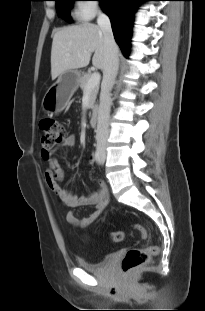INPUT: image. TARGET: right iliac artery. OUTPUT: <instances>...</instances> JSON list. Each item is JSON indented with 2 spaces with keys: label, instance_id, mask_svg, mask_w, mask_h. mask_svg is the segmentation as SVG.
I'll use <instances>...</instances> for the list:
<instances>
[{
  "label": "right iliac artery",
  "instance_id": "82829eb1",
  "mask_svg": "<svg viewBox=\"0 0 205 311\" xmlns=\"http://www.w3.org/2000/svg\"><path fill=\"white\" fill-rule=\"evenodd\" d=\"M95 159L97 162H99V159H100V151H99V148L97 147V150L95 151Z\"/></svg>",
  "mask_w": 205,
  "mask_h": 311
}]
</instances>
